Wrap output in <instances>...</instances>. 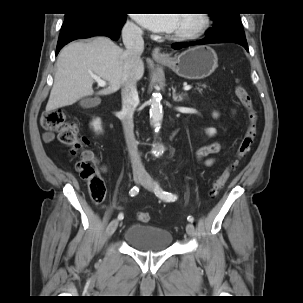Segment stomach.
<instances>
[{"instance_id": "obj_1", "label": "stomach", "mask_w": 303, "mask_h": 303, "mask_svg": "<svg viewBox=\"0 0 303 303\" xmlns=\"http://www.w3.org/2000/svg\"><path fill=\"white\" fill-rule=\"evenodd\" d=\"M218 58L215 51L206 45L189 48L178 56L161 62L185 79H203L217 68Z\"/></svg>"}]
</instances>
